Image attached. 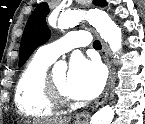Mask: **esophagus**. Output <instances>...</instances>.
I'll use <instances>...</instances> for the list:
<instances>
[{
  "label": "esophagus",
  "mask_w": 145,
  "mask_h": 124,
  "mask_svg": "<svg viewBox=\"0 0 145 124\" xmlns=\"http://www.w3.org/2000/svg\"><path fill=\"white\" fill-rule=\"evenodd\" d=\"M101 45H102L101 54H102V57H103L106 65L108 66L109 76H108V81H107L105 90L102 93V95L97 99L93 108H98L107 99V97L109 95L110 86H111V80H112V69H111V65H110V61H109V57H108V51H107L106 45L104 44L103 41H101ZM89 119H90V113L88 111H83V112L76 114L75 123L76 124H87Z\"/></svg>",
  "instance_id": "34e87169"
}]
</instances>
